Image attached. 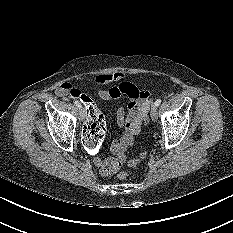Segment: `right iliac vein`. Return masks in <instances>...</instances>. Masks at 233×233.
Instances as JSON below:
<instances>
[{
    "label": "right iliac vein",
    "mask_w": 233,
    "mask_h": 233,
    "mask_svg": "<svg viewBox=\"0 0 233 233\" xmlns=\"http://www.w3.org/2000/svg\"><path fill=\"white\" fill-rule=\"evenodd\" d=\"M79 117H80V120H84L85 119V117H86V111H85V109L84 108H80V110H79Z\"/></svg>",
    "instance_id": "63e3f726"
}]
</instances>
